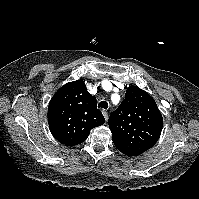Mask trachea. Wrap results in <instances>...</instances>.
<instances>
[{"label": "trachea", "mask_w": 199, "mask_h": 199, "mask_svg": "<svg viewBox=\"0 0 199 199\" xmlns=\"http://www.w3.org/2000/svg\"><path fill=\"white\" fill-rule=\"evenodd\" d=\"M99 108L107 109L108 108V103L106 101H101L98 104Z\"/></svg>", "instance_id": "obj_1"}]
</instances>
